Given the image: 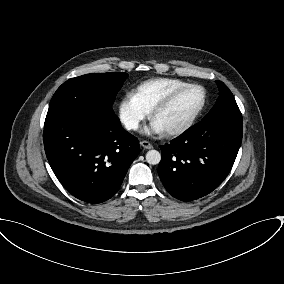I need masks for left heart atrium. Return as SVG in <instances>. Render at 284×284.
I'll list each match as a JSON object with an SVG mask.
<instances>
[{
    "instance_id": "1",
    "label": "left heart atrium",
    "mask_w": 284,
    "mask_h": 284,
    "mask_svg": "<svg viewBox=\"0 0 284 284\" xmlns=\"http://www.w3.org/2000/svg\"><path fill=\"white\" fill-rule=\"evenodd\" d=\"M146 132L161 133L162 130L153 122L151 126L146 130Z\"/></svg>"
}]
</instances>
